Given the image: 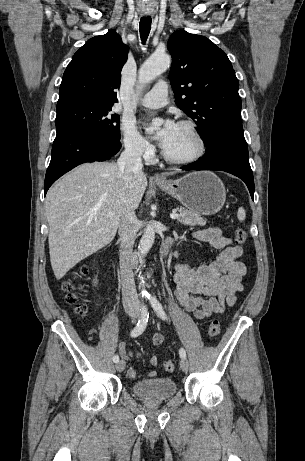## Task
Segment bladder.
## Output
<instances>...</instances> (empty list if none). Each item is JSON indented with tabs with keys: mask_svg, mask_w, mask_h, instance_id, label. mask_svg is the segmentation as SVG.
<instances>
[{
	"mask_svg": "<svg viewBox=\"0 0 305 461\" xmlns=\"http://www.w3.org/2000/svg\"><path fill=\"white\" fill-rule=\"evenodd\" d=\"M132 391L139 397L149 400H167L177 393V385L170 377H155L132 384Z\"/></svg>",
	"mask_w": 305,
	"mask_h": 461,
	"instance_id": "bladder-1",
	"label": "bladder"
}]
</instances>
